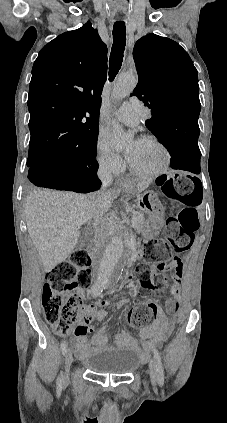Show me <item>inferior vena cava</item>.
Returning <instances> with one entry per match:
<instances>
[{
	"mask_svg": "<svg viewBox=\"0 0 227 423\" xmlns=\"http://www.w3.org/2000/svg\"><path fill=\"white\" fill-rule=\"evenodd\" d=\"M97 176L102 182L101 192H106L107 188H109L113 182V176L111 174V166L109 162H100Z\"/></svg>",
	"mask_w": 227,
	"mask_h": 423,
	"instance_id": "602c4592",
	"label": "inferior vena cava"
}]
</instances>
